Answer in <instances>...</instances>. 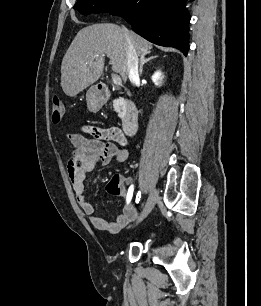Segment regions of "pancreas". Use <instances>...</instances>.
Wrapping results in <instances>:
<instances>
[{
	"label": "pancreas",
	"mask_w": 261,
	"mask_h": 306,
	"mask_svg": "<svg viewBox=\"0 0 261 306\" xmlns=\"http://www.w3.org/2000/svg\"><path fill=\"white\" fill-rule=\"evenodd\" d=\"M113 107L118 112V116L122 117L124 110V99L119 98L113 101Z\"/></svg>",
	"instance_id": "1"
}]
</instances>
